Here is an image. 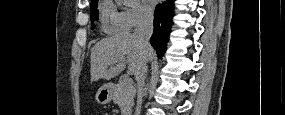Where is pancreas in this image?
Segmentation results:
<instances>
[{
	"mask_svg": "<svg viewBox=\"0 0 285 115\" xmlns=\"http://www.w3.org/2000/svg\"><path fill=\"white\" fill-rule=\"evenodd\" d=\"M135 93L136 89L132 85L126 86L123 82L114 87L113 102L120 106L122 115L130 113Z\"/></svg>",
	"mask_w": 285,
	"mask_h": 115,
	"instance_id": "cf45deb5",
	"label": "pancreas"
}]
</instances>
